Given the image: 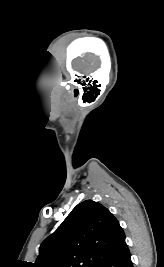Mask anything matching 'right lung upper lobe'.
<instances>
[{"label": "right lung upper lobe", "mask_w": 164, "mask_h": 267, "mask_svg": "<svg viewBox=\"0 0 164 267\" xmlns=\"http://www.w3.org/2000/svg\"><path fill=\"white\" fill-rule=\"evenodd\" d=\"M126 246L117 219L102 204H78L39 249L34 267H100Z\"/></svg>", "instance_id": "right-lung-upper-lobe-1"}]
</instances>
